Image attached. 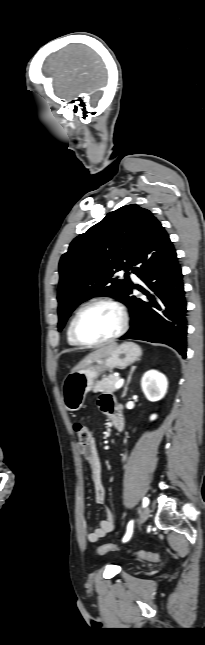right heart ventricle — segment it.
<instances>
[{"instance_id": "obj_1", "label": "right heart ventricle", "mask_w": 205, "mask_h": 645, "mask_svg": "<svg viewBox=\"0 0 205 645\" xmlns=\"http://www.w3.org/2000/svg\"><path fill=\"white\" fill-rule=\"evenodd\" d=\"M70 324H71V322H70ZM70 324H69L68 329H67V341H68V343L70 345L77 346L78 344L75 342V340L73 339V337L71 335Z\"/></svg>"}]
</instances>
